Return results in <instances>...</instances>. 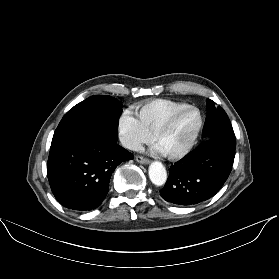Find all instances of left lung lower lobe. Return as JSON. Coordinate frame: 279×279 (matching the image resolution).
<instances>
[{
    "label": "left lung lower lobe",
    "mask_w": 279,
    "mask_h": 279,
    "mask_svg": "<svg viewBox=\"0 0 279 279\" xmlns=\"http://www.w3.org/2000/svg\"><path fill=\"white\" fill-rule=\"evenodd\" d=\"M236 142L211 138L176 162L161 196L177 205H193L214 196L227 180L235 157Z\"/></svg>",
    "instance_id": "1"
}]
</instances>
